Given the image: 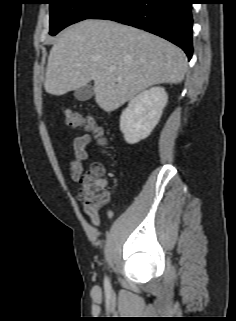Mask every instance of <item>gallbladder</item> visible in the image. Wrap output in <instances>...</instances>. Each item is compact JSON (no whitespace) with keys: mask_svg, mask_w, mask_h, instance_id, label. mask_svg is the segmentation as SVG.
Returning <instances> with one entry per match:
<instances>
[{"mask_svg":"<svg viewBox=\"0 0 236 321\" xmlns=\"http://www.w3.org/2000/svg\"><path fill=\"white\" fill-rule=\"evenodd\" d=\"M93 86L87 84L83 87H80L74 91V96L79 101H87L93 96Z\"/></svg>","mask_w":236,"mask_h":321,"instance_id":"obj_1","label":"gallbladder"}]
</instances>
